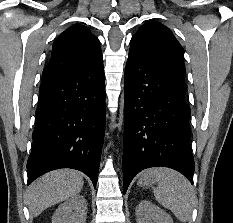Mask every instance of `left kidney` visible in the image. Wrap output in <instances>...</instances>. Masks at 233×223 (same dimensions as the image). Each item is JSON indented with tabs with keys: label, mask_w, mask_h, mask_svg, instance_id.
Segmentation results:
<instances>
[{
	"label": "left kidney",
	"mask_w": 233,
	"mask_h": 223,
	"mask_svg": "<svg viewBox=\"0 0 233 223\" xmlns=\"http://www.w3.org/2000/svg\"><path fill=\"white\" fill-rule=\"evenodd\" d=\"M135 213L137 223H173L171 215L149 199H141L135 207Z\"/></svg>",
	"instance_id": "1"
}]
</instances>
